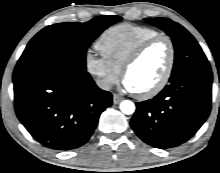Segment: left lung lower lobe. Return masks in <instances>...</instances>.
Segmentation results:
<instances>
[{
  "instance_id": "left-lung-lower-lobe-1",
  "label": "left lung lower lobe",
  "mask_w": 220,
  "mask_h": 173,
  "mask_svg": "<svg viewBox=\"0 0 220 173\" xmlns=\"http://www.w3.org/2000/svg\"><path fill=\"white\" fill-rule=\"evenodd\" d=\"M212 72L184 74L153 99L137 102L131 127L145 143L161 149L189 140L211 108Z\"/></svg>"
}]
</instances>
